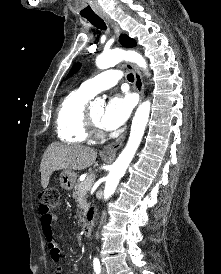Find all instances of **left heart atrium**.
Wrapping results in <instances>:
<instances>
[{"label": "left heart atrium", "mask_w": 221, "mask_h": 274, "mask_svg": "<svg viewBox=\"0 0 221 274\" xmlns=\"http://www.w3.org/2000/svg\"><path fill=\"white\" fill-rule=\"evenodd\" d=\"M133 100L128 95H116L106 105L100 119L101 126L106 130H114L121 126L129 117Z\"/></svg>", "instance_id": "1"}]
</instances>
